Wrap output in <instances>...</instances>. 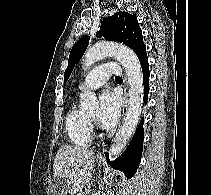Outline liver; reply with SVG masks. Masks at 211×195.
Wrapping results in <instances>:
<instances>
[{"label": "liver", "mask_w": 211, "mask_h": 195, "mask_svg": "<svg viewBox=\"0 0 211 195\" xmlns=\"http://www.w3.org/2000/svg\"><path fill=\"white\" fill-rule=\"evenodd\" d=\"M95 154L78 146L64 145L58 150L53 164L55 177L63 179L71 195L82 190L90 181L95 166ZM61 194L67 192L60 189Z\"/></svg>", "instance_id": "6515ba94"}]
</instances>
